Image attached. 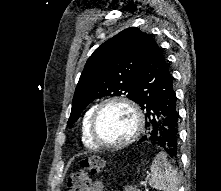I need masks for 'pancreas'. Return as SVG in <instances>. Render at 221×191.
I'll return each mask as SVG.
<instances>
[{"label": "pancreas", "mask_w": 221, "mask_h": 191, "mask_svg": "<svg viewBox=\"0 0 221 191\" xmlns=\"http://www.w3.org/2000/svg\"><path fill=\"white\" fill-rule=\"evenodd\" d=\"M125 191H141L140 189H136L135 187L132 186H126Z\"/></svg>", "instance_id": "1"}]
</instances>
